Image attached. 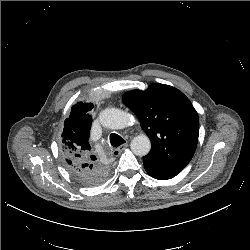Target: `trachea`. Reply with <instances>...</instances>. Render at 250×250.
<instances>
[{"label":"trachea","mask_w":250,"mask_h":250,"mask_svg":"<svg viewBox=\"0 0 250 250\" xmlns=\"http://www.w3.org/2000/svg\"><path fill=\"white\" fill-rule=\"evenodd\" d=\"M125 142L126 141L116 133L110 135V143L113 148H117Z\"/></svg>","instance_id":"obj_1"}]
</instances>
